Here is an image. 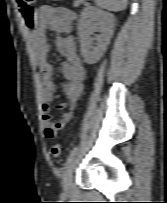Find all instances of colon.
Returning <instances> with one entry per match:
<instances>
[{
	"mask_svg": "<svg viewBox=\"0 0 167 203\" xmlns=\"http://www.w3.org/2000/svg\"><path fill=\"white\" fill-rule=\"evenodd\" d=\"M36 0H17L18 8L25 24L32 28L34 26L33 8ZM50 154L53 158L58 159L61 156V145L55 143L51 146Z\"/></svg>",
	"mask_w": 167,
	"mask_h": 203,
	"instance_id": "5ec220e1",
	"label": "colon"
}]
</instances>
